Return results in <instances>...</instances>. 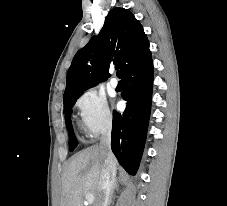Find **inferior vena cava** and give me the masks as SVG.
Segmentation results:
<instances>
[{"label":"inferior vena cava","mask_w":227,"mask_h":206,"mask_svg":"<svg viewBox=\"0 0 227 206\" xmlns=\"http://www.w3.org/2000/svg\"><path fill=\"white\" fill-rule=\"evenodd\" d=\"M100 149L104 155V163L101 171L102 197L98 206H107L116 176V160L111 151V126L101 137Z\"/></svg>","instance_id":"inferior-vena-cava-1"}]
</instances>
